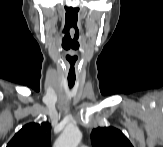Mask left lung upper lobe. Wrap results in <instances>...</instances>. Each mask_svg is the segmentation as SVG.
I'll return each instance as SVG.
<instances>
[{
  "label": "left lung upper lobe",
  "instance_id": "5c2ea615",
  "mask_svg": "<svg viewBox=\"0 0 163 147\" xmlns=\"http://www.w3.org/2000/svg\"><path fill=\"white\" fill-rule=\"evenodd\" d=\"M94 147H133L127 137L114 127H98L91 135Z\"/></svg>",
  "mask_w": 163,
  "mask_h": 147
}]
</instances>
